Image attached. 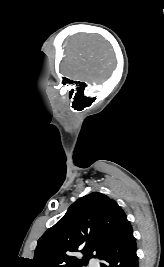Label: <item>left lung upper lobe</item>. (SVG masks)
Wrapping results in <instances>:
<instances>
[{
	"label": "left lung upper lobe",
	"mask_w": 164,
	"mask_h": 267,
	"mask_svg": "<svg viewBox=\"0 0 164 267\" xmlns=\"http://www.w3.org/2000/svg\"><path fill=\"white\" fill-rule=\"evenodd\" d=\"M126 214L108 196L93 192L73 203L63 218L37 242L33 267H84L100 259L127 222ZM73 252L83 253L82 260Z\"/></svg>",
	"instance_id": "obj_1"
}]
</instances>
